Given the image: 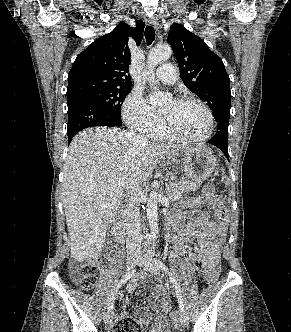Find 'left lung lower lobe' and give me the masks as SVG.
<instances>
[{"mask_svg":"<svg viewBox=\"0 0 291 332\" xmlns=\"http://www.w3.org/2000/svg\"><path fill=\"white\" fill-rule=\"evenodd\" d=\"M214 117L218 123V127L216 134L210 141H208V143L215 145L220 150H222L227 159L229 160L227 140H228V123H229L230 112L223 111L221 113H218Z\"/></svg>","mask_w":291,"mask_h":332,"instance_id":"left-lung-lower-lobe-1","label":"left lung lower lobe"}]
</instances>
